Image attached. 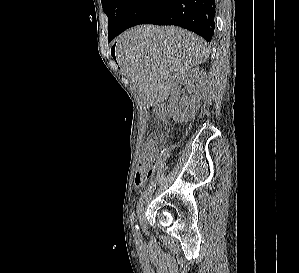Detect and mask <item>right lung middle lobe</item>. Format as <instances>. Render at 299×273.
Instances as JSON below:
<instances>
[{"mask_svg": "<svg viewBox=\"0 0 299 273\" xmlns=\"http://www.w3.org/2000/svg\"><path fill=\"white\" fill-rule=\"evenodd\" d=\"M134 0H101L105 14L108 16V41H112Z\"/></svg>", "mask_w": 299, "mask_h": 273, "instance_id": "obj_1", "label": "right lung middle lobe"}]
</instances>
